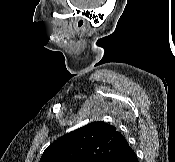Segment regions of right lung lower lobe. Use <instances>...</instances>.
I'll use <instances>...</instances> for the list:
<instances>
[{
  "label": "right lung lower lobe",
  "instance_id": "obj_1",
  "mask_svg": "<svg viewBox=\"0 0 175 162\" xmlns=\"http://www.w3.org/2000/svg\"><path fill=\"white\" fill-rule=\"evenodd\" d=\"M113 162H138V158L135 152L130 150L126 154L117 157Z\"/></svg>",
  "mask_w": 175,
  "mask_h": 162
}]
</instances>
